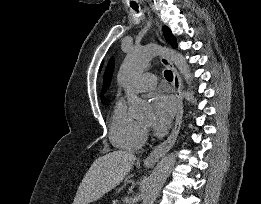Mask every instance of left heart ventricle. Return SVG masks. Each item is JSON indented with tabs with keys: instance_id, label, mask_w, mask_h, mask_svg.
I'll list each match as a JSON object with an SVG mask.
<instances>
[{
	"instance_id": "left-heart-ventricle-1",
	"label": "left heart ventricle",
	"mask_w": 261,
	"mask_h": 204,
	"mask_svg": "<svg viewBox=\"0 0 261 204\" xmlns=\"http://www.w3.org/2000/svg\"><path fill=\"white\" fill-rule=\"evenodd\" d=\"M148 120H149V116H146L144 119H143V122H148Z\"/></svg>"
}]
</instances>
